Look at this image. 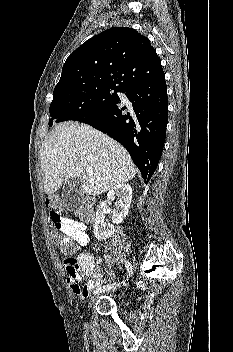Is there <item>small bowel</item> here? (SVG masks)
Masks as SVG:
<instances>
[{
	"label": "small bowel",
	"instance_id": "small-bowel-1",
	"mask_svg": "<svg viewBox=\"0 0 233 352\" xmlns=\"http://www.w3.org/2000/svg\"><path fill=\"white\" fill-rule=\"evenodd\" d=\"M50 218L56 229L74 240L80 247H86L89 244L90 238L84 223L71 218L61 217L55 211L50 212ZM63 263L67 271V284L72 293L78 298L88 297L97 286L104 282L98 266L101 263V259H96L89 252H82L77 258H66ZM82 280H87V282L80 286Z\"/></svg>",
	"mask_w": 233,
	"mask_h": 352
}]
</instances>
